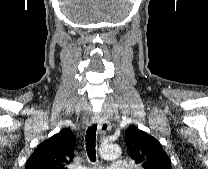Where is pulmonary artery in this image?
<instances>
[{"mask_svg":"<svg viewBox=\"0 0 208 169\" xmlns=\"http://www.w3.org/2000/svg\"><path fill=\"white\" fill-rule=\"evenodd\" d=\"M132 167L129 165V162L124 159L116 158L112 161L111 165L108 169H131ZM81 169H104L102 167L97 168H89V167H82Z\"/></svg>","mask_w":208,"mask_h":169,"instance_id":"1","label":"pulmonary artery"}]
</instances>
